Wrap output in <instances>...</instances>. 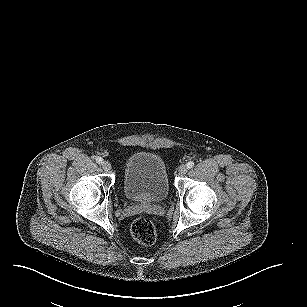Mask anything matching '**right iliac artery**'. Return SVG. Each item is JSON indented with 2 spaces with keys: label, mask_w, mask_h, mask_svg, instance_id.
<instances>
[{
  "label": "right iliac artery",
  "mask_w": 307,
  "mask_h": 307,
  "mask_svg": "<svg viewBox=\"0 0 307 307\" xmlns=\"http://www.w3.org/2000/svg\"><path fill=\"white\" fill-rule=\"evenodd\" d=\"M95 159H96V162L98 164H102L103 163V159L101 157H96Z\"/></svg>",
  "instance_id": "82829eb1"
}]
</instances>
